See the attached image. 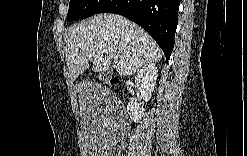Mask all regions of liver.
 <instances>
[{
	"mask_svg": "<svg viewBox=\"0 0 247 156\" xmlns=\"http://www.w3.org/2000/svg\"><path fill=\"white\" fill-rule=\"evenodd\" d=\"M66 61L75 81L89 68L105 72L111 61L119 75H132L142 65L156 63L163 53L140 26L117 14L104 13L69 27L65 31Z\"/></svg>",
	"mask_w": 247,
	"mask_h": 156,
	"instance_id": "liver-1",
	"label": "liver"
}]
</instances>
